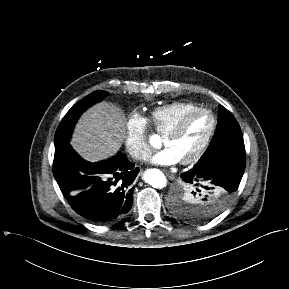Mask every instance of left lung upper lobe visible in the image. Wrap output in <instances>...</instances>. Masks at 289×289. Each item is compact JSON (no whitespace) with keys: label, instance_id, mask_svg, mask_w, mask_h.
I'll list each match as a JSON object with an SVG mask.
<instances>
[{"label":"left lung upper lobe","instance_id":"left-lung-upper-lobe-1","mask_svg":"<svg viewBox=\"0 0 289 289\" xmlns=\"http://www.w3.org/2000/svg\"><path fill=\"white\" fill-rule=\"evenodd\" d=\"M219 116L214 136L199 161L228 153L245 152L240 126L234 116L222 105L218 107ZM171 208L175 216L186 221L203 222L211 218L205 216L203 201L192 185L183 183L176 191Z\"/></svg>","mask_w":289,"mask_h":289}]
</instances>
